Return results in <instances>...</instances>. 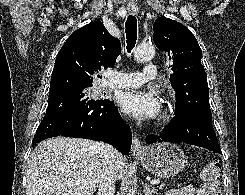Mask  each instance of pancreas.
I'll list each match as a JSON object with an SVG mask.
<instances>
[{
    "label": "pancreas",
    "instance_id": "cf45deb5",
    "mask_svg": "<svg viewBox=\"0 0 245 195\" xmlns=\"http://www.w3.org/2000/svg\"><path fill=\"white\" fill-rule=\"evenodd\" d=\"M165 185L164 184H162V185H160V188H162V187H164Z\"/></svg>",
    "mask_w": 245,
    "mask_h": 195
}]
</instances>
